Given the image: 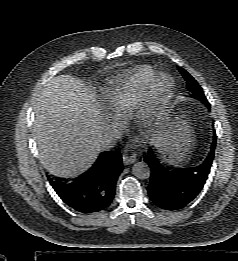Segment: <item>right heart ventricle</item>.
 <instances>
[{
  "label": "right heart ventricle",
  "instance_id": "right-heart-ventricle-1",
  "mask_svg": "<svg viewBox=\"0 0 238 261\" xmlns=\"http://www.w3.org/2000/svg\"><path fill=\"white\" fill-rule=\"evenodd\" d=\"M155 75L156 71L152 67L144 65L114 82L105 92L109 109L116 114L134 111L140 104L148 83Z\"/></svg>",
  "mask_w": 238,
  "mask_h": 261
}]
</instances>
